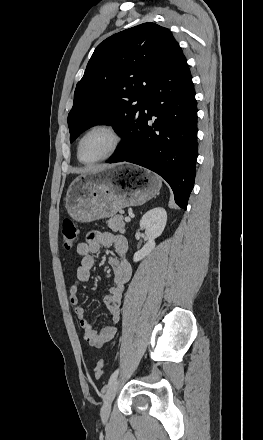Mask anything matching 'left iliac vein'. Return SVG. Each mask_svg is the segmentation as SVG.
<instances>
[{"mask_svg": "<svg viewBox=\"0 0 263 440\" xmlns=\"http://www.w3.org/2000/svg\"><path fill=\"white\" fill-rule=\"evenodd\" d=\"M120 381L116 379L108 388L107 393L104 397L103 406L101 408V417L103 420H107L109 418L111 412V404L117 393Z\"/></svg>", "mask_w": 263, "mask_h": 440, "instance_id": "4c4485c4", "label": "left iliac vein"}]
</instances>
